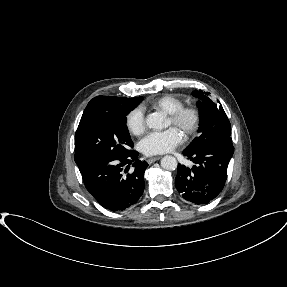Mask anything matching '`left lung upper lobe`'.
Listing matches in <instances>:
<instances>
[{"label": "left lung upper lobe", "instance_id": "5c2ea615", "mask_svg": "<svg viewBox=\"0 0 287 287\" xmlns=\"http://www.w3.org/2000/svg\"><path fill=\"white\" fill-rule=\"evenodd\" d=\"M192 94L201 100V102H197L200 118L198 132H200V136L193 140L185 150L187 152L198 151L212 143L229 138L231 135L229 119L219 101L217 103L211 100L209 94L202 90H195Z\"/></svg>", "mask_w": 287, "mask_h": 287}]
</instances>
